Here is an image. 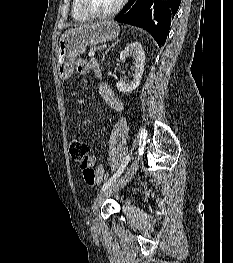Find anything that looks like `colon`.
I'll use <instances>...</instances> for the list:
<instances>
[{
	"label": "colon",
	"mask_w": 233,
	"mask_h": 263,
	"mask_svg": "<svg viewBox=\"0 0 233 263\" xmlns=\"http://www.w3.org/2000/svg\"><path fill=\"white\" fill-rule=\"evenodd\" d=\"M90 151V146L87 142L74 139L72 140L70 147H69V153L71 156V159L79 163L84 175V178L88 184L93 185L97 178H100L104 180L107 177V174L104 170H101L98 174L87 167L86 161L88 158V154Z\"/></svg>",
	"instance_id": "colon-1"
}]
</instances>
